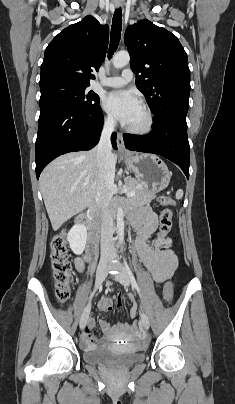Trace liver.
Segmentation results:
<instances>
[{
  "mask_svg": "<svg viewBox=\"0 0 235 404\" xmlns=\"http://www.w3.org/2000/svg\"><path fill=\"white\" fill-rule=\"evenodd\" d=\"M113 156L116 163L117 155ZM98 175L96 151L62 155L43 170L40 190L54 231L92 204Z\"/></svg>",
  "mask_w": 235,
  "mask_h": 404,
  "instance_id": "liver-1",
  "label": "liver"
}]
</instances>
